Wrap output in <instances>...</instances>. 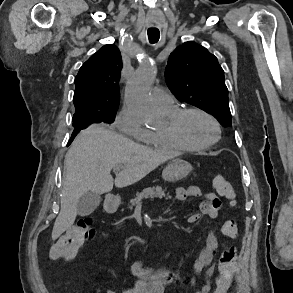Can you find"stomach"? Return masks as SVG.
<instances>
[{"instance_id": "1", "label": "stomach", "mask_w": 293, "mask_h": 293, "mask_svg": "<svg viewBox=\"0 0 293 293\" xmlns=\"http://www.w3.org/2000/svg\"><path fill=\"white\" fill-rule=\"evenodd\" d=\"M192 171L189 162L176 158L171 160L162 172V177L167 182H178L183 180ZM110 206L113 204L109 203Z\"/></svg>"}]
</instances>
